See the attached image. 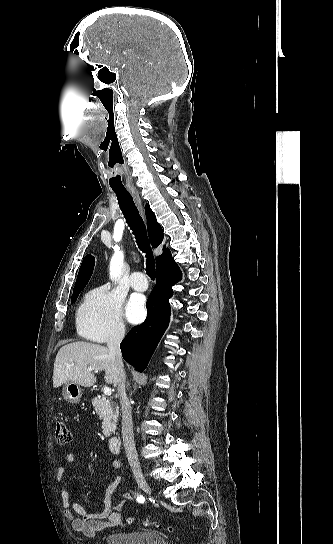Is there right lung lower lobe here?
I'll use <instances>...</instances> for the list:
<instances>
[{
	"mask_svg": "<svg viewBox=\"0 0 333 544\" xmlns=\"http://www.w3.org/2000/svg\"><path fill=\"white\" fill-rule=\"evenodd\" d=\"M181 271L175 263L156 271V285L150 294L147 319L136 326L121 342L123 358L139 372L145 370L159 340L169 324V298L172 286L181 280Z\"/></svg>",
	"mask_w": 333,
	"mask_h": 544,
	"instance_id": "right-lung-lower-lobe-1",
	"label": "right lung lower lobe"
}]
</instances>
